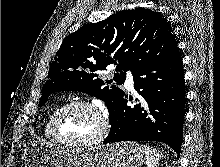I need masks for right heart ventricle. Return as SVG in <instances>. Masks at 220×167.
Here are the masks:
<instances>
[{
    "label": "right heart ventricle",
    "mask_w": 220,
    "mask_h": 167,
    "mask_svg": "<svg viewBox=\"0 0 220 167\" xmlns=\"http://www.w3.org/2000/svg\"><path fill=\"white\" fill-rule=\"evenodd\" d=\"M54 112H55V110L48 117V119L45 123V127H44V136L48 140L53 141V142H55V140H54V137H53L52 132H51V120H52V116H53Z\"/></svg>",
    "instance_id": "1"
}]
</instances>
